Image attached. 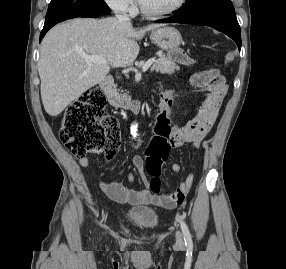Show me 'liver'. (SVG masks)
<instances>
[{"mask_svg": "<svg viewBox=\"0 0 286 269\" xmlns=\"http://www.w3.org/2000/svg\"><path fill=\"white\" fill-rule=\"evenodd\" d=\"M165 26L134 29L131 23L109 17L76 18L53 27L40 48L38 72L41 98L50 116L59 115L72 101L106 77L110 67H128L139 54L136 40ZM83 55H98L108 63H87Z\"/></svg>", "mask_w": 286, "mask_h": 269, "instance_id": "obj_1", "label": "liver"}]
</instances>
